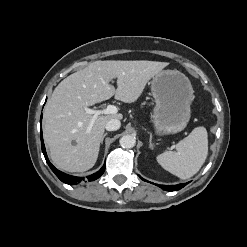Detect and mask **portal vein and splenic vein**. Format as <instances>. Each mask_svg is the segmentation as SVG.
Returning <instances> with one entry per match:
<instances>
[{"label":"portal vein and splenic vein","mask_w":247,"mask_h":247,"mask_svg":"<svg viewBox=\"0 0 247 247\" xmlns=\"http://www.w3.org/2000/svg\"><path fill=\"white\" fill-rule=\"evenodd\" d=\"M85 111L86 113L93 115V118L91 120V124H93L99 115L116 114L118 112V108L114 105H108L107 108L103 110H94V109L85 107Z\"/></svg>","instance_id":"obj_1"}]
</instances>
